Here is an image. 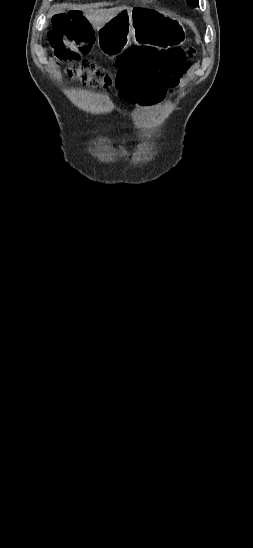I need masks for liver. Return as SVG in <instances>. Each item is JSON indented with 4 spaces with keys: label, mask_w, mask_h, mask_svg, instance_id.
I'll return each instance as SVG.
<instances>
[{
    "label": "liver",
    "mask_w": 253,
    "mask_h": 548,
    "mask_svg": "<svg viewBox=\"0 0 253 548\" xmlns=\"http://www.w3.org/2000/svg\"><path fill=\"white\" fill-rule=\"evenodd\" d=\"M66 8L84 9V16L90 22L92 27L96 30L103 27L106 23H108L113 17H115L120 12L131 9L130 7H125V6L114 7L109 9H93L88 6L81 7L78 5H69L67 3H61V4H54L49 11V15L52 16L54 14L62 13L65 11Z\"/></svg>",
    "instance_id": "6515ba94"
}]
</instances>
